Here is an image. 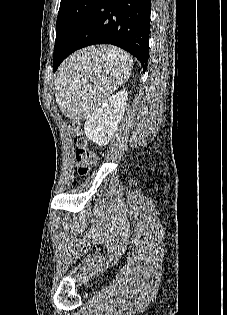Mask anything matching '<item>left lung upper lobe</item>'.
I'll return each instance as SVG.
<instances>
[{"label":"left lung upper lobe","instance_id":"obj_1","mask_svg":"<svg viewBox=\"0 0 227 315\" xmlns=\"http://www.w3.org/2000/svg\"><path fill=\"white\" fill-rule=\"evenodd\" d=\"M101 0H61L54 54L63 51Z\"/></svg>","mask_w":227,"mask_h":315}]
</instances>
